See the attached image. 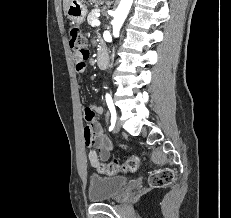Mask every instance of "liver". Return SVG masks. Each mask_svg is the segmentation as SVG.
Masks as SVG:
<instances>
[{
  "mask_svg": "<svg viewBox=\"0 0 231 218\" xmlns=\"http://www.w3.org/2000/svg\"><path fill=\"white\" fill-rule=\"evenodd\" d=\"M70 2L71 0H63V10H64L65 15H66V11H67V8Z\"/></svg>",
  "mask_w": 231,
  "mask_h": 218,
  "instance_id": "obj_1",
  "label": "liver"
}]
</instances>
